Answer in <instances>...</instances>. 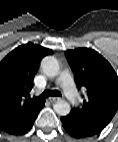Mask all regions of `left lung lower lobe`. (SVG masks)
I'll list each match as a JSON object with an SVG mask.
<instances>
[{
    "instance_id": "obj_1",
    "label": "left lung lower lobe",
    "mask_w": 118,
    "mask_h": 142,
    "mask_svg": "<svg viewBox=\"0 0 118 142\" xmlns=\"http://www.w3.org/2000/svg\"><path fill=\"white\" fill-rule=\"evenodd\" d=\"M62 125L65 130L74 137H87L96 134L83 121L79 120L72 114L61 118Z\"/></svg>"
}]
</instances>
